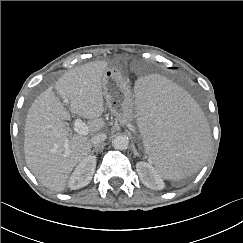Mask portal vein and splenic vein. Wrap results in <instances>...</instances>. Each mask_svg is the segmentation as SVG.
I'll return each instance as SVG.
<instances>
[{"instance_id":"obj_1","label":"portal vein and splenic vein","mask_w":243,"mask_h":243,"mask_svg":"<svg viewBox=\"0 0 243 243\" xmlns=\"http://www.w3.org/2000/svg\"><path fill=\"white\" fill-rule=\"evenodd\" d=\"M67 102V101H65ZM74 131L81 135H87L88 134V127L87 125L79 118L75 120L74 124ZM68 146V143L65 144V147Z\"/></svg>"}]
</instances>
